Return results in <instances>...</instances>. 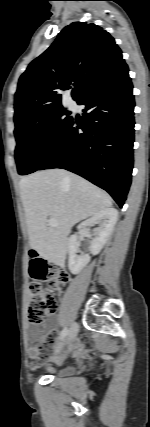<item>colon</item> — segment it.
<instances>
[{
  "mask_svg": "<svg viewBox=\"0 0 150 427\" xmlns=\"http://www.w3.org/2000/svg\"><path fill=\"white\" fill-rule=\"evenodd\" d=\"M29 272L34 280L28 288L29 305L28 320L31 323H42L48 314L56 312L58 302L53 292L68 280L67 273L56 264L43 259L39 253L29 251ZM40 281L48 283L47 290L43 289Z\"/></svg>",
  "mask_w": 150,
  "mask_h": 427,
  "instance_id": "colon-1",
  "label": "colon"
}]
</instances>
